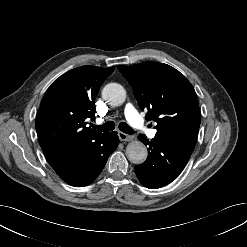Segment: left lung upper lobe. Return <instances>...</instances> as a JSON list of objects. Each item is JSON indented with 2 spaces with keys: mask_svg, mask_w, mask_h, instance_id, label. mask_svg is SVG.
<instances>
[{
  "mask_svg": "<svg viewBox=\"0 0 247 247\" xmlns=\"http://www.w3.org/2000/svg\"><path fill=\"white\" fill-rule=\"evenodd\" d=\"M118 69L131 84L140 108L147 110L146 119L157 123L155 137L196 144L201 121L197 95L178 70L156 62Z\"/></svg>",
  "mask_w": 247,
  "mask_h": 247,
  "instance_id": "obj_1",
  "label": "left lung upper lobe"
}]
</instances>
